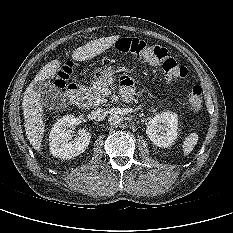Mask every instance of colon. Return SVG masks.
Masks as SVG:
<instances>
[{
	"label": "colon",
	"mask_w": 233,
	"mask_h": 233,
	"mask_svg": "<svg viewBox=\"0 0 233 233\" xmlns=\"http://www.w3.org/2000/svg\"><path fill=\"white\" fill-rule=\"evenodd\" d=\"M119 51L138 58L161 64L163 77L169 82H174L186 77L187 68L179 64L169 51L160 45L148 44L136 38H122L117 42ZM70 73L69 67H64L60 74L59 83L64 84ZM189 105L194 110H200L203 105V90L200 84L193 85L188 96Z\"/></svg>",
	"instance_id": "5ec220e1"
}]
</instances>
